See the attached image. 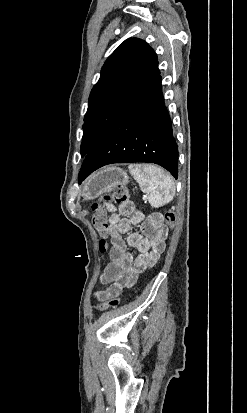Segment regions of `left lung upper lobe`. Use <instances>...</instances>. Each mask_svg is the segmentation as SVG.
Listing matches in <instances>:
<instances>
[{
	"instance_id": "left-lung-upper-lobe-1",
	"label": "left lung upper lobe",
	"mask_w": 247,
	"mask_h": 413,
	"mask_svg": "<svg viewBox=\"0 0 247 413\" xmlns=\"http://www.w3.org/2000/svg\"><path fill=\"white\" fill-rule=\"evenodd\" d=\"M157 55L143 40H125L104 63L84 117L81 156L159 75Z\"/></svg>"
}]
</instances>
